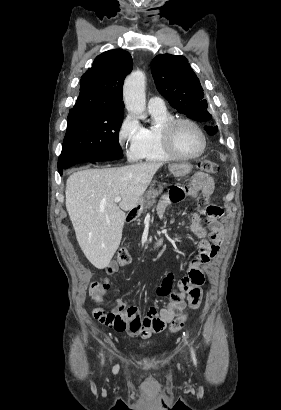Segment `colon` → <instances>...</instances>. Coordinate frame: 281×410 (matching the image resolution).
<instances>
[{"label": "colon", "mask_w": 281, "mask_h": 410, "mask_svg": "<svg viewBox=\"0 0 281 410\" xmlns=\"http://www.w3.org/2000/svg\"><path fill=\"white\" fill-rule=\"evenodd\" d=\"M199 169L203 174H213L218 171V165L212 161L204 160L200 163ZM186 195V189L181 186H173L168 191V197L171 202H179ZM199 204L202 208L206 209L208 215L220 216L222 214V209L216 205L209 204V198L206 196H201ZM130 254L126 249H121L117 254L116 262L119 266H126L130 263ZM109 289V284L105 281H95L90 286V295L93 299L95 305L98 308L95 311V317L104 325L112 327L117 331H124L132 324L129 322V318L134 314L133 311L127 313V315L116 313L113 310H106L99 308L102 304ZM200 301L197 297L194 298L192 302L193 307H197ZM187 314H182L172 321L170 325V331L177 332L183 326L187 319Z\"/></svg>", "instance_id": "5ec220e1"}]
</instances>
